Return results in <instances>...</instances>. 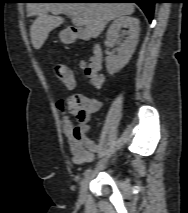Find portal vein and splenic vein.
Wrapping results in <instances>:
<instances>
[{
	"mask_svg": "<svg viewBox=\"0 0 188 213\" xmlns=\"http://www.w3.org/2000/svg\"><path fill=\"white\" fill-rule=\"evenodd\" d=\"M73 22L75 23V24H77V25H79V26H83L84 25V19L83 18H81V17H78V16H75L74 18H73Z\"/></svg>",
	"mask_w": 188,
	"mask_h": 213,
	"instance_id": "18ae733b",
	"label": "portal vein and splenic vein"
}]
</instances>
